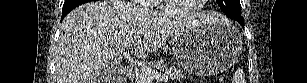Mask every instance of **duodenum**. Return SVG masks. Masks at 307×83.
<instances>
[{"instance_id":"1","label":"duodenum","mask_w":307,"mask_h":83,"mask_svg":"<svg viewBox=\"0 0 307 83\" xmlns=\"http://www.w3.org/2000/svg\"><path fill=\"white\" fill-rule=\"evenodd\" d=\"M127 73H128V74H133V71H132L131 69H128V70H127Z\"/></svg>"}]
</instances>
